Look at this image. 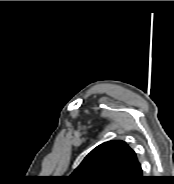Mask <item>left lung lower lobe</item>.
<instances>
[{"label":"left lung lower lobe","instance_id":"0a47b994","mask_svg":"<svg viewBox=\"0 0 174 184\" xmlns=\"http://www.w3.org/2000/svg\"><path fill=\"white\" fill-rule=\"evenodd\" d=\"M144 177L142 176V169L139 163H137V166L134 171L133 178L128 184H139L141 181H143Z\"/></svg>","mask_w":174,"mask_h":184}]
</instances>
